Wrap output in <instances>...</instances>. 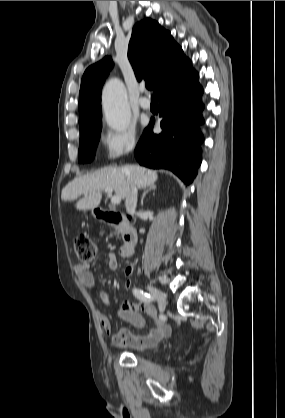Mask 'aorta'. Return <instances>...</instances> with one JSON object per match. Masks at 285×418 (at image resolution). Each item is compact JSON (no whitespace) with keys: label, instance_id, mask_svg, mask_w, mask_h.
<instances>
[{"label":"aorta","instance_id":"762f6f07","mask_svg":"<svg viewBox=\"0 0 285 418\" xmlns=\"http://www.w3.org/2000/svg\"><path fill=\"white\" fill-rule=\"evenodd\" d=\"M103 110L107 125L115 131H125L131 120L126 88L117 78L110 79L102 93Z\"/></svg>","mask_w":285,"mask_h":418}]
</instances>
